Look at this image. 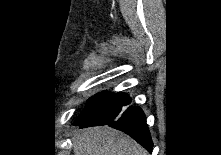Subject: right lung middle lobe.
I'll use <instances>...</instances> for the list:
<instances>
[{"label":"right lung middle lobe","mask_w":221,"mask_h":155,"mask_svg":"<svg viewBox=\"0 0 221 155\" xmlns=\"http://www.w3.org/2000/svg\"><path fill=\"white\" fill-rule=\"evenodd\" d=\"M105 92H101L96 94L95 96L89 99V102L83 111V113L79 116V118L73 123V125L78 126L80 125L99 105L102 100V97Z\"/></svg>","instance_id":"1"}]
</instances>
